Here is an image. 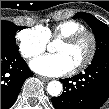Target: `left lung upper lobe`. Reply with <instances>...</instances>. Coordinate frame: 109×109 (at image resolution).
I'll return each mask as SVG.
<instances>
[{
  "label": "left lung upper lobe",
  "instance_id": "1",
  "mask_svg": "<svg viewBox=\"0 0 109 109\" xmlns=\"http://www.w3.org/2000/svg\"><path fill=\"white\" fill-rule=\"evenodd\" d=\"M74 18H82L92 28L96 40L95 56L109 52V27L105 23L85 12L76 13ZM79 95V89L75 88L69 92L68 97L70 99H76Z\"/></svg>",
  "mask_w": 109,
  "mask_h": 109
}]
</instances>
